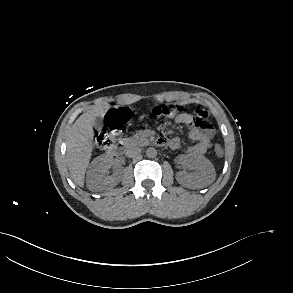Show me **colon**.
I'll return each mask as SVG.
<instances>
[{
	"mask_svg": "<svg viewBox=\"0 0 293 293\" xmlns=\"http://www.w3.org/2000/svg\"><path fill=\"white\" fill-rule=\"evenodd\" d=\"M182 110L183 107L181 105H163L154 107L153 113L159 118L170 119L177 114H180ZM195 115L198 117L200 122L206 123L208 114L205 109H198L195 111ZM128 117L129 112L125 108L108 111L105 115L106 128L96 131V146L102 150L111 148L120 135L126 121L128 120ZM163 128L164 125L161 126V129ZM161 137L165 136L162 134ZM214 153L217 157H221L224 153L222 146L216 145Z\"/></svg>",
	"mask_w": 293,
	"mask_h": 293,
	"instance_id": "obj_1",
	"label": "colon"
}]
</instances>
